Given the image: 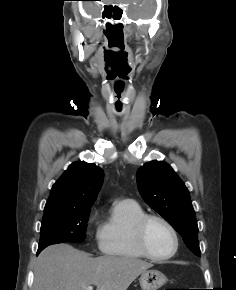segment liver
<instances>
[{
    "label": "liver",
    "mask_w": 236,
    "mask_h": 290,
    "mask_svg": "<svg viewBox=\"0 0 236 290\" xmlns=\"http://www.w3.org/2000/svg\"><path fill=\"white\" fill-rule=\"evenodd\" d=\"M153 265L146 261L117 256L90 257L68 244L45 248L34 266L32 290H127L130 284Z\"/></svg>",
    "instance_id": "1"
}]
</instances>
